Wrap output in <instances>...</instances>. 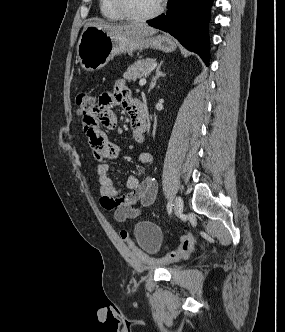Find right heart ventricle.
<instances>
[{
  "label": "right heart ventricle",
  "instance_id": "right-heart-ventricle-1",
  "mask_svg": "<svg viewBox=\"0 0 285 332\" xmlns=\"http://www.w3.org/2000/svg\"><path fill=\"white\" fill-rule=\"evenodd\" d=\"M100 13L109 21H122L124 17L116 10L113 0H99Z\"/></svg>",
  "mask_w": 285,
  "mask_h": 332
}]
</instances>
